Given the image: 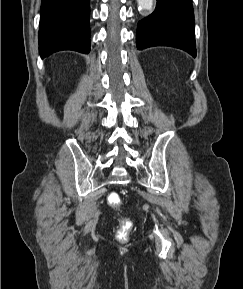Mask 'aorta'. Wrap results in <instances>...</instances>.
<instances>
[{
  "instance_id": "obj_1",
  "label": "aorta",
  "mask_w": 243,
  "mask_h": 289,
  "mask_svg": "<svg viewBox=\"0 0 243 289\" xmlns=\"http://www.w3.org/2000/svg\"><path fill=\"white\" fill-rule=\"evenodd\" d=\"M138 7L144 11H150L153 6V0H137Z\"/></svg>"
}]
</instances>
